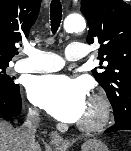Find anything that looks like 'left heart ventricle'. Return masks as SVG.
I'll return each mask as SVG.
<instances>
[{
  "mask_svg": "<svg viewBox=\"0 0 131 151\" xmlns=\"http://www.w3.org/2000/svg\"><path fill=\"white\" fill-rule=\"evenodd\" d=\"M95 116V109L94 107L88 102L86 105V109L85 112L81 118V120L83 119H91Z\"/></svg>",
  "mask_w": 131,
  "mask_h": 151,
  "instance_id": "1",
  "label": "left heart ventricle"
}]
</instances>
